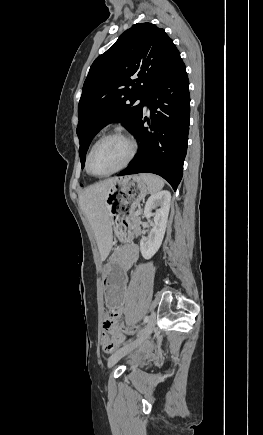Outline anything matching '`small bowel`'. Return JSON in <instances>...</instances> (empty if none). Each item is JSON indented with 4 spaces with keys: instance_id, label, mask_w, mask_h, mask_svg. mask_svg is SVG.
Segmentation results:
<instances>
[{
    "instance_id": "c3829d8e",
    "label": "small bowel",
    "mask_w": 263,
    "mask_h": 435,
    "mask_svg": "<svg viewBox=\"0 0 263 435\" xmlns=\"http://www.w3.org/2000/svg\"><path fill=\"white\" fill-rule=\"evenodd\" d=\"M139 255L138 247L135 244H129L114 252L111 258H122L129 264L128 272L137 261ZM127 280V278H125ZM127 290V287H126ZM125 300V299H124ZM124 312V305H119L118 310H111V314L105 319L104 329L108 334H104L103 341L99 343V348L104 350L105 355H116L119 350L124 348L125 335L118 323L119 317ZM115 339L117 341H115Z\"/></svg>"
}]
</instances>
